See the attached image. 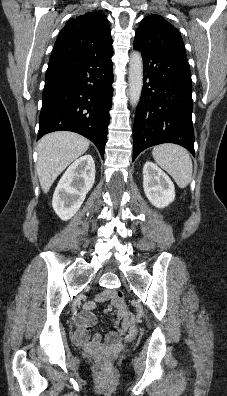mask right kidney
Listing matches in <instances>:
<instances>
[{"label": "right kidney", "instance_id": "1", "mask_svg": "<svg viewBox=\"0 0 227 396\" xmlns=\"http://www.w3.org/2000/svg\"><path fill=\"white\" fill-rule=\"evenodd\" d=\"M95 181V163L91 155L75 160L60 179L52 199L55 213L68 220L80 209Z\"/></svg>", "mask_w": 227, "mask_h": 396}]
</instances>
